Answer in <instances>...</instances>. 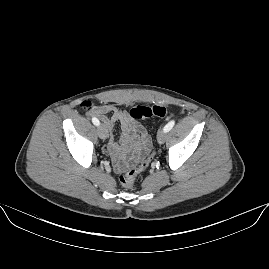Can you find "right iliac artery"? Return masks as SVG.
I'll return each mask as SVG.
<instances>
[{"mask_svg":"<svg viewBox=\"0 0 269 269\" xmlns=\"http://www.w3.org/2000/svg\"><path fill=\"white\" fill-rule=\"evenodd\" d=\"M92 122H93V124L94 125H96V126H99V124H100V122H99V120L97 119V118H92Z\"/></svg>","mask_w":269,"mask_h":269,"instance_id":"1","label":"right iliac artery"}]
</instances>
